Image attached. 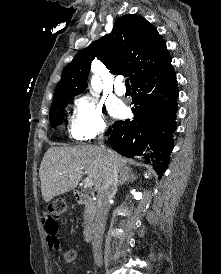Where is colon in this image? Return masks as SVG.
I'll return each instance as SVG.
<instances>
[{"instance_id": "obj_1", "label": "colon", "mask_w": 221, "mask_h": 274, "mask_svg": "<svg viewBox=\"0 0 221 274\" xmlns=\"http://www.w3.org/2000/svg\"><path fill=\"white\" fill-rule=\"evenodd\" d=\"M67 204L64 199H56L49 205V212L55 219H60L66 212ZM75 259V253L71 250L63 253V260L67 263Z\"/></svg>"}]
</instances>
